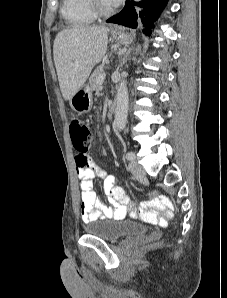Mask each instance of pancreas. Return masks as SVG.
I'll return each instance as SVG.
<instances>
[{"mask_svg":"<svg viewBox=\"0 0 227 298\" xmlns=\"http://www.w3.org/2000/svg\"><path fill=\"white\" fill-rule=\"evenodd\" d=\"M105 65L101 64L99 65L92 75L90 76L89 83H90V88L91 90H96L99 87V84L97 83V79L103 74L104 72Z\"/></svg>","mask_w":227,"mask_h":298,"instance_id":"pancreas-1","label":"pancreas"}]
</instances>
